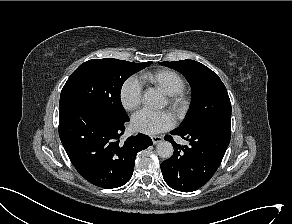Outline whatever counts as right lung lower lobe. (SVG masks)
<instances>
[{
    "label": "right lung lower lobe",
    "instance_id": "obj_1",
    "mask_svg": "<svg viewBox=\"0 0 292 224\" xmlns=\"http://www.w3.org/2000/svg\"><path fill=\"white\" fill-rule=\"evenodd\" d=\"M127 121V115L110 118L79 102L59 105L61 142L90 183L107 189L123 186L132 177L137 153L152 145L151 138L141 133L121 141Z\"/></svg>",
    "mask_w": 292,
    "mask_h": 224
}]
</instances>
